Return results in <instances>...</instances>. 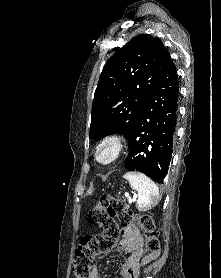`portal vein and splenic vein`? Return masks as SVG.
I'll return each mask as SVG.
<instances>
[{"label": "portal vein and splenic vein", "instance_id": "18ae733b", "mask_svg": "<svg viewBox=\"0 0 221 278\" xmlns=\"http://www.w3.org/2000/svg\"><path fill=\"white\" fill-rule=\"evenodd\" d=\"M125 196L129 199V201H135V198H131L128 193H125Z\"/></svg>", "mask_w": 221, "mask_h": 278}]
</instances>
